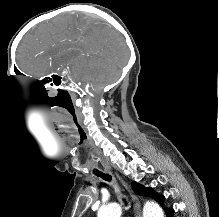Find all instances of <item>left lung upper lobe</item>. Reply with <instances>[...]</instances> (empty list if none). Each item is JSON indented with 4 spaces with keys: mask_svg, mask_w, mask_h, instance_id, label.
I'll return each instance as SVG.
<instances>
[{
    "mask_svg": "<svg viewBox=\"0 0 219 217\" xmlns=\"http://www.w3.org/2000/svg\"><path fill=\"white\" fill-rule=\"evenodd\" d=\"M132 188L134 190V192L138 195L141 196H148V197H152L154 198L157 202H159L163 208H165V206L163 205V201L165 199L164 196L156 194L155 192H153L151 189L146 188L136 182L132 183Z\"/></svg>",
    "mask_w": 219,
    "mask_h": 217,
    "instance_id": "1",
    "label": "left lung upper lobe"
}]
</instances>
